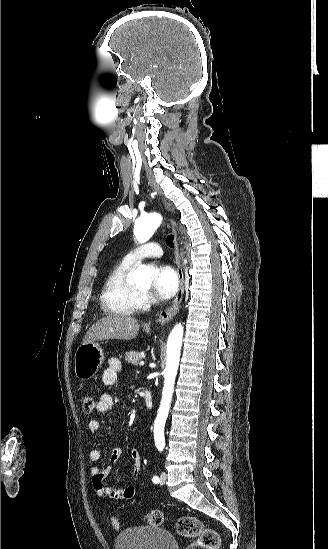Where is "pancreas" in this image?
Returning <instances> with one entry per match:
<instances>
[{"label": "pancreas", "instance_id": "pancreas-1", "mask_svg": "<svg viewBox=\"0 0 328 549\" xmlns=\"http://www.w3.org/2000/svg\"><path fill=\"white\" fill-rule=\"evenodd\" d=\"M124 359L127 363L138 365L139 361H141V355L140 353H135V351H129V353H125Z\"/></svg>", "mask_w": 328, "mask_h": 549}]
</instances>
